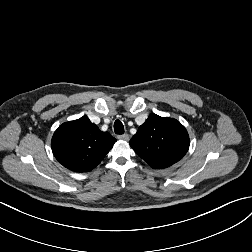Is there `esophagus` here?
<instances>
[{
  "label": "esophagus",
  "instance_id": "1",
  "mask_svg": "<svg viewBox=\"0 0 252 252\" xmlns=\"http://www.w3.org/2000/svg\"><path fill=\"white\" fill-rule=\"evenodd\" d=\"M129 135L128 134H123V135H119L118 139L120 140H124V141H128L129 140Z\"/></svg>",
  "mask_w": 252,
  "mask_h": 252
}]
</instances>
